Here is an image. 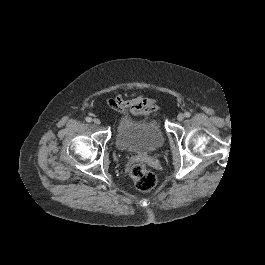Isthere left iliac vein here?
<instances>
[{
    "label": "left iliac vein",
    "instance_id": "left-iliac-vein-1",
    "mask_svg": "<svg viewBox=\"0 0 265 265\" xmlns=\"http://www.w3.org/2000/svg\"><path fill=\"white\" fill-rule=\"evenodd\" d=\"M184 114L183 113H180V114H178V116H177V120L178 121H182L183 119H184Z\"/></svg>",
    "mask_w": 265,
    "mask_h": 265
}]
</instances>
